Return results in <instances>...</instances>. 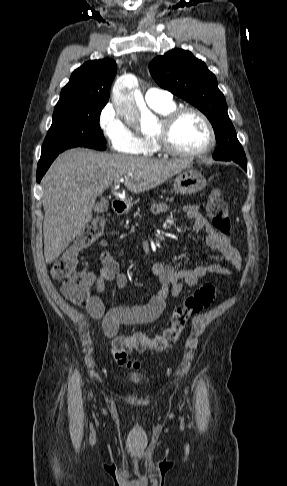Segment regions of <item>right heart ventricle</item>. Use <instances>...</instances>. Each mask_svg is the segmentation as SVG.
<instances>
[{
    "label": "right heart ventricle",
    "mask_w": 287,
    "mask_h": 486,
    "mask_svg": "<svg viewBox=\"0 0 287 486\" xmlns=\"http://www.w3.org/2000/svg\"><path fill=\"white\" fill-rule=\"evenodd\" d=\"M175 108L176 106L173 102L165 106L153 107V109L157 111L159 114H161L162 116L166 115L167 113H169ZM140 141H141V147L138 154H141L143 156H153L159 152L157 145L152 139V136H144L140 138Z\"/></svg>",
    "instance_id": "obj_1"
}]
</instances>
